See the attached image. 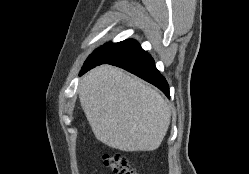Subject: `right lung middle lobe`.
Segmentation results:
<instances>
[{
	"instance_id": "1",
	"label": "right lung middle lobe",
	"mask_w": 249,
	"mask_h": 174,
	"mask_svg": "<svg viewBox=\"0 0 249 174\" xmlns=\"http://www.w3.org/2000/svg\"><path fill=\"white\" fill-rule=\"evenodd\" d=\"M140 47L137 41L128 39L119 43H106L96 49L85 61L83 67L90 66L100 61H111L123 54Z\"/></svg>"
}]
</instances>
